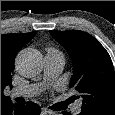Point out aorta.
Masks as SVG:
<instances>
[{"instance_id":"762f6f07","label":"aorta","mask_w":115,"mask_h":115,"mask_svg":"<svg viewBox=\"0 0 115 115\" xmlns=\"http://www.w3.org/2000/svg\"><path fill=\"white\" fill-rule=\"evenodd\" d=\"M42 56L34 49L22 50L16 58V69L24 77H34L42 69ZM62 115V114H54Z\"/></svg>"}]
</instances>
